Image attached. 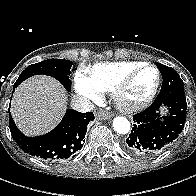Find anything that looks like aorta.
Returning a JSON list of instances; mask_svg holds the SVG:
<instances>
[{"mask_svg":"<svg viewBox=\"0 0 196 196\" xmlns=\"http://www.w3.org/2000/svg\"><path fill=\"white\" fill-rule=\"evenodd\" d=\"M113 129L119 134H127L130 130V122L127 118L118 116L113 119Z\"/></svg>","mask_w":196,"mask_h":196,"instance_id":"obj_1","label":"aorta"}]
</instances>
